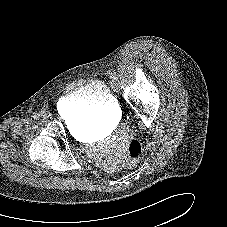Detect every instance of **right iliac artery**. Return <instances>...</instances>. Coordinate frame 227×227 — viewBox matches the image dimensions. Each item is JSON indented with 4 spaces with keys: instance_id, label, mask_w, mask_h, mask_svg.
I'll use <instances>...</instances> for the list:
<instances>
[{
    "instance_id": "right-iliac-artery-1",
    "label": "right iliac artery",
    "mask_w": 227,
    "mask_h": 227,
    "mask_svg": "<svg viewBox=\"0 0 227 227\" xmlns=\"http://www.w3.org/2000/svg\"><path fill=\"white\" fill-rule=\"evenodd\" d=\"M33 118H34V119H38V118H39V114H36V113H35V114L33 115Z\"/></svg>"
}]
</instances>
